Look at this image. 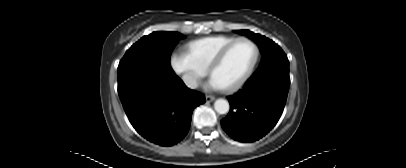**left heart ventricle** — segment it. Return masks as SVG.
Instances as JSON below:
<instances>
[{"mask_svg": "<svg viewBox=\"0 0 406 168\" xmlns=\"http://www.w3.org/2000/svg\"><path fill=\"white\" fill-rule=\"evenodd\" d=\"M254 56V49L248 42H240L233 46L222 64L214 71L212 78L221 87L228 86L238 80L245 72Z\"/></svg>", "mask_w": 406, "mask_h": 168, "instance_id": "1", "label": "left heart ventricle"}]
</instances>
